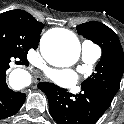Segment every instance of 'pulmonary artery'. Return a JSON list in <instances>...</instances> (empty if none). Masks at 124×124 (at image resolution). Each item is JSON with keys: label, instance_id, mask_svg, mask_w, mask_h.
Returning <instances> with one entry per match:
<instances>
[{"label": "pulmonary artery", "instance_id": "1", "mask_svg": "<svg viewBox=\"0 0 124 124\" xmlns=\"http://www.w3.org/2000/svg\"><path fill=\"white\" fill-rule=\"evenodd\" d=\"M101 56V48L96 44L85 41L81 45V57L86 64H94Z\"/></svg>", "mask_w": 124, "mask_h": 124}]
</instances>
